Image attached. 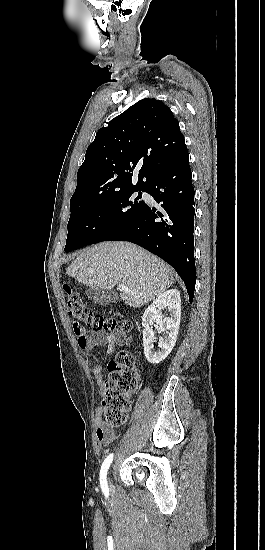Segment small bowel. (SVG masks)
Returning <instances> with one entry per match:
<instances>
[{"label":"small bowel","instance_id":"obj_1","mask_svg":"<svg viewBox=\"0 0 265 550\" xmlns=\"http://www.w3.org/2000/svg\"><path fill=\"white\" fill-rule=\"evenodd\" d=\"M74 333L77 337L78 346L83 350H91L97 347L106 345V354L111 355L117 345L126 346L131 342L130 336L122 331L117 332H101V331H87L82 327H75ZM93 375L95 376L98 384L102 385V373L103 368L100 364H95L92 367ZM94 425L96 429L97 439L103 443L108 444L115 438V433L111 428H108L101 417L100 409L97 411Z\"/></svg>","mask_w":265,"mask_h":550}]
</instances>
